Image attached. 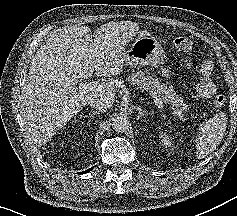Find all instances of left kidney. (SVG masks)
Masks as SVG:
<instances>
[{"label": "left kidney", "instance_id": "5707ae66", "mask_svg": "<svg viewBox=\"0 0 237 216\" xmlns=\"http://www.w3.org/2000/svg\"><path fill=\"white\" fill-rule=\"evenodd\" d=\"M159 140L161 144L166 148H174V142L172 140V137H170L167 133L161 132L159 134Z\"/></svg>", "mask_w": 237, "mask_h": 216}]
</instances>
